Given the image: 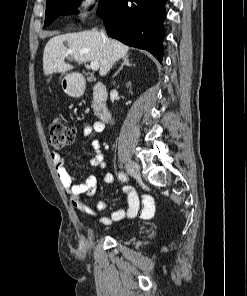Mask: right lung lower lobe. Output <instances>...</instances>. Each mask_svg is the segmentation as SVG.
I'll return each mask as SVG.
<instances>
[{
  "label": "right lung lower lobe",
  "instance_id": "right-lung-lower-lobe-1",
  "mask_svg": "<svg viewBox=\"0 0 247 296\" xmlns=\"http://www.w3.org/2000/svg\"><path fill=\"white\" fill-rule=\"evenodd\" d=\"M167 0H112L98 15L110 37L145 49L162 62L165 36L163 20Z\"/></svg>",
  "mask_w": 247,
  "mask_h": 296
}]
</instances>
